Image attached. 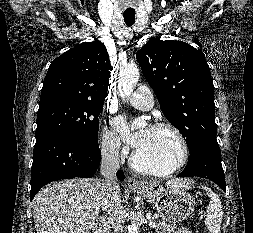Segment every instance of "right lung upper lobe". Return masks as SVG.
I'll return each mask as SVG.
<instances>
[{
  "mask_svg": "<svg viewBox=\"0 0 253 233\" xmlns=\"http://www.w3.org/2000/svg\"><path fill=\"white\" fill-rule=\"evenodd\" d=\"M111 70L102 42L95 40L75 46L50 64L40 103L52 99L104 102Z\"/></svg>",
  "mask_w": 253,
  "mask_h": 233,
  "instance_id": "cb5924a9",
  "label": "right lung upper lobe"
}]
</instances>
